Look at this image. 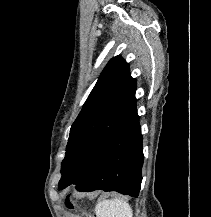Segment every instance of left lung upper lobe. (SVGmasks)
Segmentation results:
<instances>
[{
	"label": "left lung upper lobe",
	"instance_id": "left-lung-upper-lobe-1",
	"mask_svg": "<svg viewBox=\"0 0 211 217\" xmlns=\"http://www.w3.org/2000/svg\"><path fill=\"white\" fill-rule=\"evenodd\" d=\"M136 80L129 64L112 58L70 129L59 188L75 179L100 147L137 115Z\"/></svg>",
	"mask_w": 211,
	"mask_h": 217
}]
</instances>
